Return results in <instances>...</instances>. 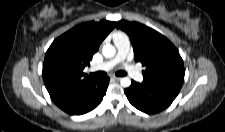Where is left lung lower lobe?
Returning a JSON list of instances; mask_svg holds the SVG:
<instances>
[{
    "label": "left lung lower lobe",
    "instance_id": "left-lung-lower-lobe-1",
    "mask_svg": "<svg viewBox=\"0 0 225 132\" xmlns=\"http://www.w3.org/2000/svg\"><path fill=\"white\" fill-rule=\"evenodd\" d=\"M179 91L170 87L149 85L143 82L137 83L135 81H132L131 86L124 90L129 102L147 114H155L167 108Z\"/></svg>",
    "mask_w": 225,
    "mask_h": 132
}]
</instances>
